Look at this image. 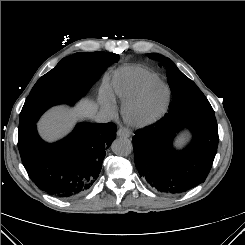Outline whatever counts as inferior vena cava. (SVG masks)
<instances>
[{
    "label": "inferior vena cava",
    "instance_id": "inferior-vena-cava-1",
    "mask_svg": "<svg viewBox=\"0 0 245 245\" xmlns=\"http://www.w3.org/2000/svg\"><path fill=\"white\" fill-rule=\"evenodd\" d=\"M96 122L99 123H107L112 120V115L110 113H107L105 111H99L95 117H94Z\"/></svg>",
    "mask_w": 245,
    "mask_h": 245
}]
</instances>
